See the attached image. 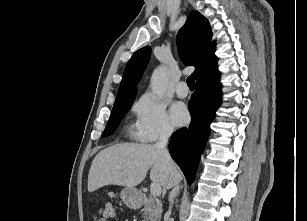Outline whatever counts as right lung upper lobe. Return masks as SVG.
Returning <instances> with one entry per match:
<instances>
[{
    "instance_id": "1",
    "label": "right lung upper lobe",
    "mask_w": 307,
    "mask_h": 221,
    "mask_svg": "<svg viewBox=\"0 0 307 221\" xmlns=\"http://www.w3.org/2000/svg\"><path fill=\"white\" fill-rule=\"evenodd\" d=\"M212 30L209 21L197 10H193L186 24L177 34V45L183 61L196 67L192 75L196 85L206 86L220 78L215 56V42L211 43ZM151 48L143 47L130 58L115 100L123 101L136 96V85L140 81L150 59Z\"/></svg>"
}]
</instances>
